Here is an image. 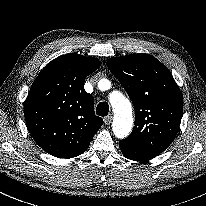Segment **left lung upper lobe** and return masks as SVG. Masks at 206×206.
Segmentation results:
<instances>
[{"mask_svg": "<svg viewBox=\"0 0 206 206\" xmlns=\"http://www.w3.org/2000/svg\"><path fill=\"white\" fill-rule=\"evenodd\" d=\"M135 108L133 131L125 144L160 154L174 140L182 118L183 98L172 74L149 54H130L107 61Z\"/></svg>", "mask_w": 206, "mask_h": 206, "instance_id": "1", "label": "left lung upper lobe"}]
</instances>
